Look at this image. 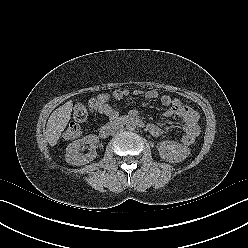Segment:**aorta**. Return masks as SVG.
Masks as SVG:
<instances>
[{"instance_id": "aorta-1", "label": "aorta", "mask_w": 248, "mask_h": 248, "mask_svg": "<svg viewBox=\"0 0 248 248\" xmlns=\"http://www.w3.org/2000/svg\"><path fill=\"white\" fill-rule=\"evenodd\" d=\"M126 129L129 131L135 130L136 129V123L134 121L127 122Z\"/></svg>"}]
</instances>
